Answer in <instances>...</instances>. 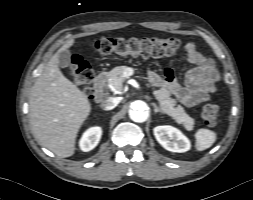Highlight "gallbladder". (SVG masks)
Wrapping results in <instances>:
<instances>
[{
	"instance_id": "obj_1",
	"label": "gallbladder",
	"mask_w": 253,
	"mask_h": 200,
	"mask_svg": "<svg viewBox=\"0 0 253 200\" xmlns=\"http://www.w3.org/2000/svg\"><path fill=\"white\" fill-rule=\"evenodd\" d=\"M71 58L70 55L67 53H63L59 57V65L62 68L68 67L70 65Z\"/></svg>"
}]
</instances>
